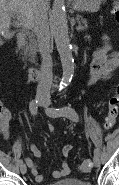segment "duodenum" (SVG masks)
<instances>
[{
    "instance_id": "duodenum-1",
    "label": "duodenum",
    "mask_w": 119,
    "mask_h": 185,
    "mask_svg": "<svg viewBox=\"0 0 119 185\" xmlns=\"http://www.w3.org/2000/svg\"><path fill=\"white\" fill-rule=\"evenodd\" d=\"M26 42L27 38L25 34H19L17 36V47L20 51H22L25 48ZM43 73H44L43 70L34 67H30L27 70L28 78L31 81L39 80L42 77Z\"/></svg>"
}]
</instances>
